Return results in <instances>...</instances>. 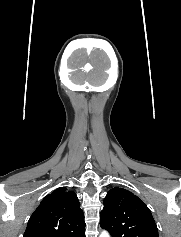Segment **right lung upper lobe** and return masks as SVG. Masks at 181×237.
<instances>
[{"label":"right lung upper lobe","mask_w":181,"mask_h":237,"mask_svg":"<svg viewBox=\"0 0 181 237\" xmlns=\"http://www.w3.org/2000/svg\"><path fill=\"white\" fill-rule=\"evenodd\" d=\"M85 226L76 194L60 187L33 212L23 237H85Z\"/></svg>","instance_id":"cb5924a9"}]
</instances>
